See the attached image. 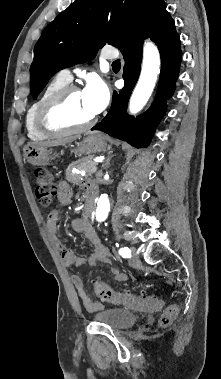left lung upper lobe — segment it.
Returning a JSON list of instances; mask_svg holds the SVG:
<instances>
[{"instance_id": "1", "label": "left lung upper lobe", "mask_w": 221, "mask_h": 379, "mask_svg": "<svg viewBox=\"0 0 221 379\" xmlns=\"http://www.w3.org/2000/svg\"><path fill=\"white\" fill-rule=\"evenodd\" d=\"M163 0H75L43 31L34 48L33 98L59 70L91 61L106 43L119 48Z\"/></svg>"}]
</instances>
